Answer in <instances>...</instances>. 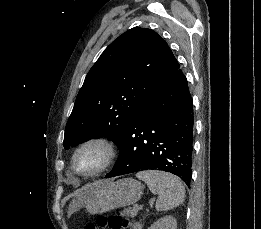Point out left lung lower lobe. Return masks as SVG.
<instances>
[{"instance_id": "obj_1", "label": "left lung lower lobe", "mask_w": 261, "mask_h": 229, "mask_svg": "<svg viewBox=\"0 0 261 229\" xmlns=\"http://www.w3.org/2000/svg\"><path fill=\"white\" fill-rule=\"evenodd\" d=\"M193 104L186 77L178 69L144 101L119 146V158L106 178L157 169L192 177Z\"/></svg>"}]
</instances>
